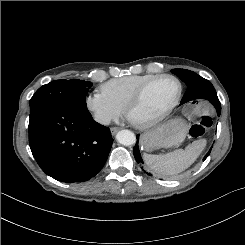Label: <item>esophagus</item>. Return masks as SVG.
I'll list each match as a JSON object with an SVG mask.
<instances>
[{
	"label": "esophagus",
	"instance_id": "1",
	"mask_svg": "<svg viewBox=\"0 0 245 245\" xmlns=\"http://www.w3.org/2000/svg\"><path fill=\"white\" fill-rule=\"evenodd\" d=\"M118 130H119L118 127H112V128H110V131H111V133H112L113 135L116 134Z\"/></svg>",
	"mask_w": 245,
	"mask_h": 245
}]
</instances>
